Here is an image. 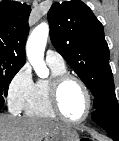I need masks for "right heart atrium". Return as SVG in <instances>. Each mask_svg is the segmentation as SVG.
<instances>
[{
    "instance_id": "right-heart-atrium-1",
    "label": "right heart atrium",
    "mask_w": 119,
    "mask_h": 141,
    "mask_svg": "<svg viewBox=\"0 0 119 141\" xmlns=\"http://www.w3.org/2000/svg\"><path fill=\"white\" fill-rule=\"evenodd\" d=\"M34 88L32 71L28 64H24L12 77L7 89L9 108L14 113L25 110Z\"/></svg>"
}]
</instances>
